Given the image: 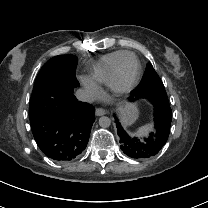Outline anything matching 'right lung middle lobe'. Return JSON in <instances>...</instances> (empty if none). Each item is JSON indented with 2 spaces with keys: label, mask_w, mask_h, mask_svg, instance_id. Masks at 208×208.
Returning <instances> with one entry per match:
<instances>
[{
  "label": "right lung middle lobe",
  "mask_w": 208,
  "mask_h": 208,
  "mask_svg": "<svg viewBox=\"0 0 208 208\" xmlns=\"http://www.w3.org/2000/svg\"><path fill=\"white\" fill-rule=\"evenodd\" d=\"M77 57L73 55H59L48 60L37 75L33 88L29 116L35 119L38 113V95L44 91H53L58 94L73 93L79 86L76 79Z\"/></svg>",
  "instance_id": "obj_1"
}]
</instances>
